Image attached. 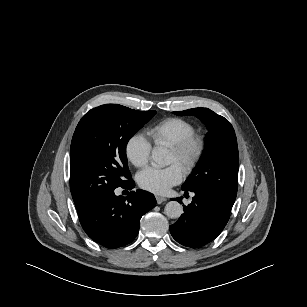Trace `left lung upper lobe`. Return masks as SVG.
I'll return each mask as SVG.
<instances>
[{
  "mask_svg": "<svg viewBox=\"0 0 307 307\" xmlns=\"http://www.w3.org/2000/svg\"><path fill=\"white\" fill-rule=\"evenodd\" d=\"M174 114L195 115L209 127L204 152L182 190L207 192L232 208L237 195L239 167L237 139L232 125L208 108Z\"/></svg>",
  "mask_w": 307,
  "mask_h": 307,
  "instance_id": "1",
  "label": "left lung upper lobe"
}]
</instances>
